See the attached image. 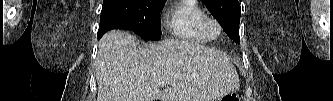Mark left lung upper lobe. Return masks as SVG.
Instances as JSON below:
<instances>
[{
  "instance_id": "left-lung-upper-lobe-1",
  "label": "left lung upper lobe",
  "mask_w": 333,
  "mask_h": 101,
  "mask_svg": "<svg viewBox=\"0 0 333 101\" xmlns=\"http://www.w3.org/2000/svg\"><path fill=\"white\" fill-rule=\"evenodd\" d=\"M226 33L239 43L240 4L238 0H202Z\"/></svg>"
}]
</instances>
